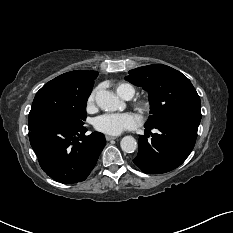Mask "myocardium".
I'll return each mask as SVG.
<instances>
[{"label": "myocardium", "mask_w": 233, "mask_h": 233, "mask_svg": "<svg viewBox=\"0 0 233 233\" xmlns=\"http://www.w3.org/2000/svg\"><path fill=\"white\" fill-rule=\"evenodd\" d=\"M137 106L143 110L146 111L149 108V102L147 100H140L137 102Z\"/></svg>", "instance_id": "f54148a6"}]
</instances>
